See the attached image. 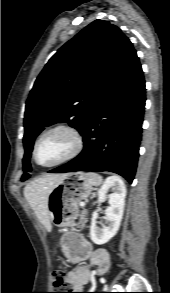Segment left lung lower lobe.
<instances>
[{
	"mask_svg": "<svg viewBox=\"0 0 170 293\" xmlns=\"http://www.w3.org/2000/svg\"><path fill=\"white\" fill-rule=\"evenodd\" d=\"M143 71L133 50L91 113L81 135L83 151L49 172L110 171L132 183L145 106Z\"/></svg>",
	"mask_w": 170,
	"mask_h": 293,
	"instance_id": "0a47b994",
	"label": "left lung lower lobe"
}]
</instances>
